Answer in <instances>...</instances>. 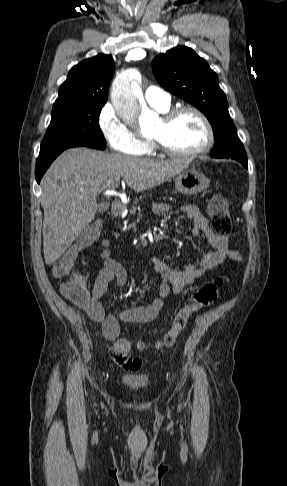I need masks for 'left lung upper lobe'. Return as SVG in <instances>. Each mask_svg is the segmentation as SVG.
<instances>
[{
    "label": "left lung upper lobe",
    "instance_id": "left-lung-upper-lobe-1",
    "mask_svg": "<svg viewBox=\"0 0 287 486\" xmlns=\"http://www.w3.org/2000/svg\"><path fill=\"white\" fill-rule=\"evenodd\" d=\"M152 70L161 86L197 107L208 118L216 142L210 153L212 157L247 158L217 74L203 58L191 48L177 46L156 56Z\"/></svg>",
    "mask_w": 287,
    "mask_h": 486
}]
</instances>
